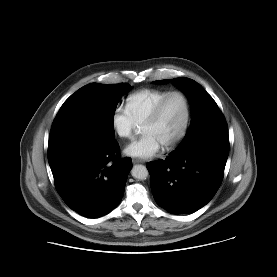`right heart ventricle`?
<instances>
[{
  "label": "right heart ventricle",
  "mask_w": 277,
  "mask_h": 277,
  "mask_svg": "<svg viewBox=\"0 0 277 277\" xmlns=\"http://www.w3.org/2000/svg\"><path fill=\"white\" fill-rule=\"evenodd\" d=\"M169 90L143 89L131 94L126 101V109L138 125H143L160 100Z\"/></svg>",
  "instance_id": "e07e8e85"
}]
</instances>
